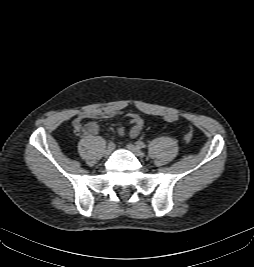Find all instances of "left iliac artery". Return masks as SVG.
<instances>
[{"mask_svg": "<svg viewBox=\"0 0 254 267\" xmlns=\"http://www.w3.org/2000/svg\"><path fill=\"white\" fill-rule=\"evenodd\" d=\"M136 146L139 148V149H142V148H145L146 147V144L142 141H137L136 142Z\"/></svg>", "mask_w": 254, "mask_h": 267, "instance_id": "44dca946", "label": "left iliac artery"}]
</instances>
